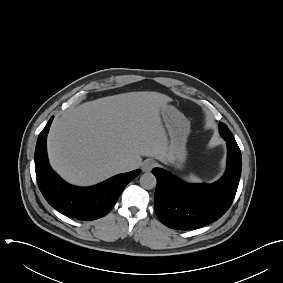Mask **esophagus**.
<instances>
[{
  "mask_svg": "<svg viewBox=\"0 0 283 283\" xmlns=\"http://www.w3.org/2000/svg\"><path fill=\"white\" fill-rule=\"evenodd\" d=\"M155 166H156L155 161H153L151 159H147L142 164V171L143 172H150Z\"/></svg>",
  "mask_w": 283,
  "mask_h": 283,
  "instance_id": "1",
  "label": "esophagus"
}]
</instances>
